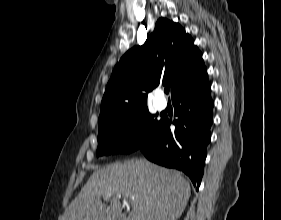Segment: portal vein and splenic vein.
<instances>
[{
  "mask_svg": "<svg viewBox=\"0 0 281 220\" xmlns=\"http://www.w3.org/2000/svg\"><path fill=\"white\" fill-rule=\"evenodd\" d=\"M119 196H120V194H118ZM110 196L108 195V196H106V198L105 199H108ZM130 199L132 200V201H135V197H130Z\"/></svg>",
  "mask_w": 281,
  "mask_h": 220,
  "instance_id": "obj_1",
  "label": "portal vein and splenic vein"
}]
</instances>
